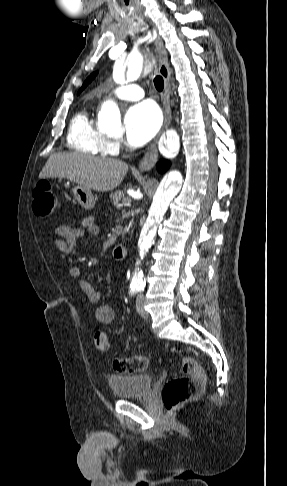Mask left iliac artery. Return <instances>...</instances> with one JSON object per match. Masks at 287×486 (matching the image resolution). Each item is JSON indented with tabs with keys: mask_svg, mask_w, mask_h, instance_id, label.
<instances>
[{
	"mask_svg": "<svg viewBox=\"0 0 287 486\" xmlns=\"http://www.w3.org/2000/svg\"><path fill=\"white\" fill-rule=\"evenodd\" d=\"M138 290H140V291H141V290H143V288L139 287V288H138Z\"/></svg>",
	"mask_w": 287,
	"mask_h": 486,
	"instance_id": "left-iliac-artery-1",
	"label": "left iliac artery"
}]
</instances>
